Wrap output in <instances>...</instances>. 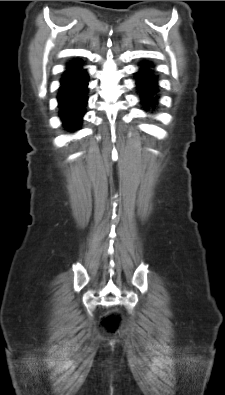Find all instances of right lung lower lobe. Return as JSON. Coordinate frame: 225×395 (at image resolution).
Here are the masks:
<instances>
[{
	"label": "right lung lower lobe",
	"instance_id": "right-lung-lower-lobe-1",
	"mask_svg": "<svg viewBox=\"0 0 225 395\" xmlns=\"http://www.w3.org/2000/svg\"><path fill=\"white\" fill-rule=\"evenodd\" d=\"M89 75L83 64L67 67L60 80L58 92L59 117L63 126L74 131L79 129L86 112Z\"/></svg>",
	"mask_w": 225,
	"mask_h": 395
}]
</instances>
